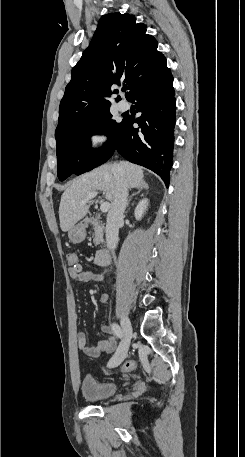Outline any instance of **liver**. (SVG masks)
<instances>
[{"mask_svg":"<svg viewBox=\"0 0 245 457\" xmlns=\"http://www.w3.org/2000/svg\"><path fill=\"white\" fill-rule=\"evenodd\" d=\"M113 166H120L122 174H124L128 188H135L143 182L144 172L142 166L132 164L127 160H120V162H112V164H102L98 168H94L91 172L81 174L79 178H75L72 184L64 190L59 206V218L61 231H70L71 226H74L80 218H83L88 212L90 204L93 200L81 202L89 192L95 190H104L107 200H114L116 190V182Z\"/></svg>","mask_w":245,"mask_h":457,"instance_id":"1","label":"liver"}]
</instances>
